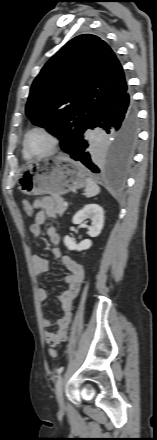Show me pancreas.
Segmentation results:
<instances>
[{"instance_id": "cf45deb5", "label": "pancreas", "mask_w": 157, "mask_h": 440, "mask_svg": "<svg viewBox=\"0 0 157 440\" xmlns=\"http://www.w3.org/2000/svg\"><path fill=\"white\" fill-rule=\"evenodd\" d=\"M54 205H55V211L58 213L59 216H62L64 212L67 210V206H64V200L61 197H54Z\"/></svg>"}]
</instances>
